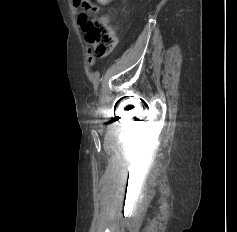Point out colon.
Instances as JSON below:
<instances>
[{
    "label": "colon",
    "instance_id": "obj_1",
    "mask_svg": "<svg viewBox=\"0 0 237 232\" xmlns=\"http://www.w3.org/2000/svg\"><path fill=\"white\" fill-rule=\"evenodd\" d=\"M114 0H74V4L82 8L79 15V24L86 34V40L94 46L98 56H108L114 50L116 38L114 31L104 18H97L96 4L106 5Z\"/></svg>",
    "mask_w": 237,
    "mask_h": 232
}]
</instances>
